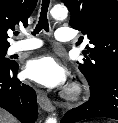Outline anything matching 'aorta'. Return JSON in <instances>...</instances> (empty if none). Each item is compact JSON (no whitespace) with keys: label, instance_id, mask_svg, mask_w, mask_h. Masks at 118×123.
Listing matches in <instances>:
<instances>
[{"label":"aorta","instance_id":"762f6f07","mask_svg":"<svg viewBox=\"0 0 118 123\" xmlns=\"http://www.w3.org/2000/svg\"><path fill=\"white\" fill-rule=\"evenodd\" d=\"M51 15L55 19L63 20L68 16V10L65 6L56 5L51 9ZM46 123H57V118L55 116L48 117Z\"/></svg>","mask_w":118,"mask_h":123}]
</instances>
